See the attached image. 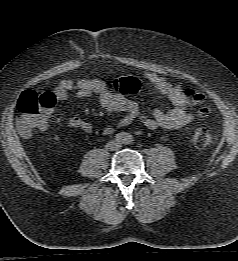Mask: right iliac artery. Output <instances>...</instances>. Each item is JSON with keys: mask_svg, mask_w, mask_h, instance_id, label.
<instances>
[{"mask_svg": "<svg viewBox=\"0 0 238 261\" xmlns=\"http://www.w3.org/2000/svg\"><path fill=\"white\" fill-rule=\"evenodd\" d=\"M125 136L126 134L125 133H118L115 135V140L118 142V143H124L125 141Z\"/></svg>", "mask_w": 238, "mask_h": 261, "instance_id": "right-iliac-artery-1", "label": "right iliac artery"}]
</instances>
